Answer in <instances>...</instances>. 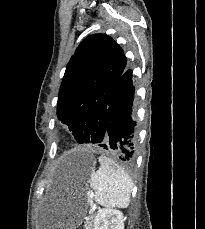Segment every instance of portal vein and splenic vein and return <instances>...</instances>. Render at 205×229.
Here are the masks:
<instances>
[{"label": "portal vein and splenic vein", "instance_id": "portal-vein-and-splenic-vein-1", "mask_svg": "<svg viewBox=\"0 0 205 229\" xmlns=\"http://www.w3.org/2000/svg\"><path fill=\"white\" fill-rule=\"evenodd\" d=\"M95 208H96V206L94 205L92 211H93Z\"/></svg>", "mask_w": 205, "mask_h": 229}]
</instances>
